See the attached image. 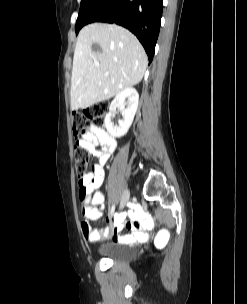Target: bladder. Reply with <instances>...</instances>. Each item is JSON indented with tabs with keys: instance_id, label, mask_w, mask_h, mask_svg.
I'll return each mask as SVG.
<instances>
[{
	"instance_id": "1",
	"label": "bladder",
	"mask_w": 247,
	"mask_h": 304,
	"mask_svg": "<svg viewBox=\"0 0 247 304\" xmlns=\"http://www.w3.org/2000/svg\"><path fill=\"white\" fill-rule=\"evenodd\" d=\"M135 252L132 247L122 243H110L100 251V256L112 262L129 261Z\"/></svg>"
}]
</instances>
